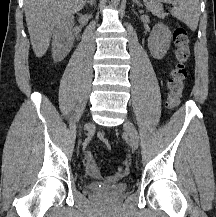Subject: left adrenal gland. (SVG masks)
Listing matches in <instances>:
<instances>
[{"label": "left adrenal gland", "instance_id": "a2214340", "mask_svg": "<svg viewBox=\"0 0 216 217\" xmlns=\"http://www.w3.org/2000/svg\"><path fill=\"white\" fill-rule=\"evenodd\" d=\"M133 3L137 4L139 7H142V4L140 3L139 0H132Z\"/></svg>", "mask_w": 216, "mask_h": 217}]
</instances>
